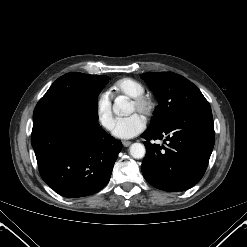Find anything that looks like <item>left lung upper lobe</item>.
<instances>
[{
  "instance_id": "1",
  "label": "left lung upper lobe",
  "mask_w": 247,
  "mask_h": 247,
  "mask_svg": "<svg viewBox=\"0 0 247 247\" xmlns=\"http://www.w3.org/2000/svg\"><path fill=\"white\" fill-rule=\"evenodd\" d=\"M153 90L159 105L149 129L165 123L197 108L210 107L200 90L188 79L172 72H153L141 75Z\"/></svg>"
}]
</instances>
